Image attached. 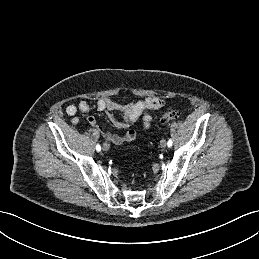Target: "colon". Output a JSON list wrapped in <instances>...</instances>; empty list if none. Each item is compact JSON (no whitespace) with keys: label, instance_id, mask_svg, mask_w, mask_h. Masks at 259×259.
<instances>
[{"label":"colon","instance_id":"5ec220e1","mask_svg":"<svg viewBox=\"0 0 259 259\" xmlns=\"http://www.w3.org/2000/svg\"><path fill=\"white\" fill-rule=\"evenodd\" d=\"M179 118H180V114L177 111L170 110V111L165 112L161 116V122L162 123H169V122L177 120Z\"/></svg>","mask_w":259,"mask_h":259}]
</instances>
